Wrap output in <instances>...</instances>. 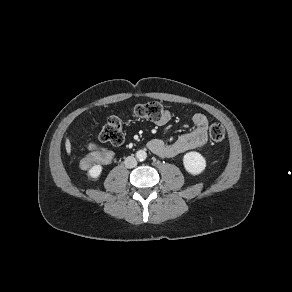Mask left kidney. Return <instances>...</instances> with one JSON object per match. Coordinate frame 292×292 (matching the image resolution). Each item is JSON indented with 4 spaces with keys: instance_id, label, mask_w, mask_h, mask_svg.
<instances>
[{
    "instance_id": "left-kidney-1",
    "label": "left kidney",
    "mask_w": 292,
    "mask_h": 292,
    "mask_svg": "<svg viewBox=\"0 0 292 292\" xmlns=\"http://www.w3.org/2000/svg\"><path fill=\"white\" fill-rule=\"evenodd\" d=\"M183 164L187 172L198 175L205 170L206 161L198 152H188L183 157Z\"/></svg>"
}]
</instances>
